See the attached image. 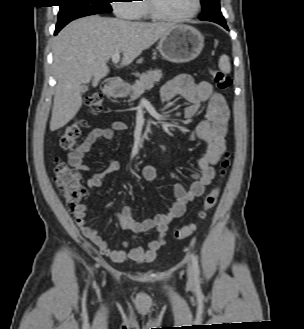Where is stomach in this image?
I'll use <instances>...</instances> for the list:
<instances>
[{
	"label": "stomach",
	"mask_w": 304,
	"mask_h": 329,
	"mask_svg": "<svg viewBox=\"0 0 304 329\" xmlns=\"http://www.w3.org/2000/svg\"><path fill=\"white\" fill-rule=\"evenodd\" d=\"M204 47L203 35L189 25H175L160 38L158 50L162 57L173 63H185L195 59ZM111 97H125L129 87L121 82H112L104 88Z\"/></svg>",
	"instance_id": "stomach-1"
}]
</instances>
